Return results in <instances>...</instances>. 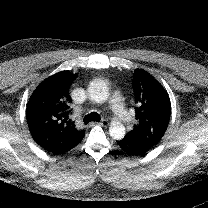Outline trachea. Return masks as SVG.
<instances>
[{"label":"trachea","instance_id":"1","mask_svg":"<svg viewBox=\"0 0 208 208\" xmlns=\"http://www.w3.org/2000/svg\"><path fill=\"white\" fill-rule=\"evenodd\" d=\"M101 120V117L98 113L96 112H91L90 114L86 115L84 117V123L88 124L91 121H97L99 122Z\"/></svg>","mask_w":208,"mask_h":208}]
</instances>
